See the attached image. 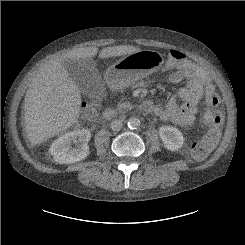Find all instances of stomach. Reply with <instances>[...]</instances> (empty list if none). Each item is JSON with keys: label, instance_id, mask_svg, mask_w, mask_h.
I'll list each match as a JSON object with an SVG mask.
<instances>
[{"label": "stomach", "instance_id": "obj_1", "mask_svg": "<svg viewBox=\"0 0 245 245\" xmlns=\"http://www.w3.org/2000/svg\"><path fill=\"white\" fill-rule=\"evenodd\" d=\"M164 64L163 56L154 50H140L126 55L110 66L105 80L114 89H124L157 72Z\"/></svg>", "mask_w": 245, "mask_h": 245}]
</instances>
